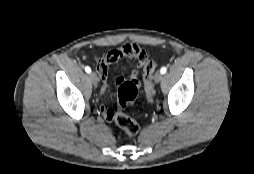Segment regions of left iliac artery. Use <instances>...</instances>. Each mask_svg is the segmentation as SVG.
<instances>
[{
	"mask_svg": "<svg viewBox=\"0 0 254 174\" xmlns=\"http://www.w3.org/2000/svg\"><path fill=\"white\" fill-rule=\"evenodd\" d=\"M166 71H167V68H166V67H162L161 70H160V72H161L162 74H165Z\"/></svg>",
	"mask_w": 254,
	"mask_h": 174,
	"instance_id": "44dca946",
	"label": "left iliac artery"
}]
</instances>
